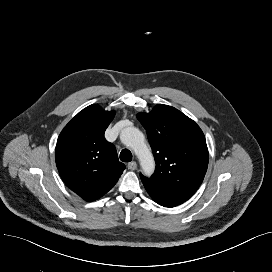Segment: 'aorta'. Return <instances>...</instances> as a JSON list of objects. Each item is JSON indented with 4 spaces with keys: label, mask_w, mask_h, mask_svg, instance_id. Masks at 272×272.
<instances>
[{
    "label": "aorta",
    "mask_w": 272,
    "mask_h": 272,
    "mask_svg": "<svg viewBox=\"0 0 272 272\" xmlns=\"http://www.w3.org/2000/svg\"><path fill=\"white\" fill-rule=\"evenodd\" d=\"M120 139L125 145L131 146L134 149L139 158L143 173L150 176L154 172L155 163L149 148L144 143L142 132L135 127H128L121 132Z\"/></svg>",
    "instance_id": "1"
}]
</instances>
